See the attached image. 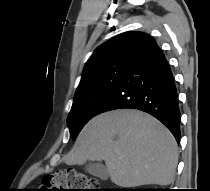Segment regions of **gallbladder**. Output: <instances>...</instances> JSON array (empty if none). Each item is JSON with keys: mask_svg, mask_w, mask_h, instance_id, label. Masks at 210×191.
<instances>
[{"mask_svg": "<svg viewBox=\"0 0 210 191\" xmlns=\"http://www.w3.org/2000/svg\"><path fill=\"white\" fill-rule=\"evenodd\" d=\"M85 169H86V171H88L93 176L99 177L103 180H106L108 178V171L106 170L104 165L101 164V163H97V162L89 163L85 167Z\"/></svg>", "mask_w": 210, "mask_h": 191, "instance_id": "1", "label": "gallbladder"}]
</instances>
